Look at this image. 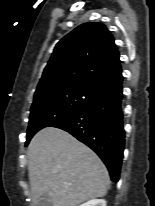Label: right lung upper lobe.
Segmentation results:
<instances>
[{
	"label": "right lung upper lobe",
	"instance_id": "cb5924a9",
	"mask_svg": "<svg viewBox=\"0 0 155 206\" xmlns=\"http://www.w3.org/2000/svg\"><path fill=\"white\" fill-rule=\"evenodd\" d=\"M123 80L119 52L101 23H85L61 39L35 93L84 85L104 92Z\"/></svg>",
	"mask_w": 155,
	"mask_h": 206
}]
</instances>
